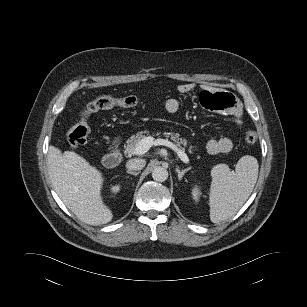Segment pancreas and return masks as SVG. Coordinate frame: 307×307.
I'll return each instance as SVG.
<instances>
[{"label": "pancreas", "mask_w": 307, "mask_h": 307, "mask_svg": "<svg viewBox=\"0 0 307 307\" xmlns=\"http://www.w3.org/2000/svg\"><path fill=\"white\" fill-rule=\"evenodd\" d=\"M146 133H148V132L147 131H141V132L137 133L136 135L131 136L130 139L127 140V145L125 146V151H124V154L126 156L130 157V156L135 154V148H136L138 142L146 137V135H145ZM164 135H165L166 138H170L174 142L176 147L181 148L182 151L184 150V148H182L181 145L186 147L187 144H188L187 140L181 138L179 133L165 132ZM193 148H194L193 146H190L189 152H192Z\"/></svg>", "instance_id": "obj_1"}]
</instances>
